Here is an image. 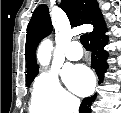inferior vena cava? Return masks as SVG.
<instances>
[{
  "label": "inferior vena cava",
  "mask_w": 121,
  "mask_h": 113,
  "mask_svg": "<svg viewBox=\"0 0 121 113\" xmlns=\"http://www.w3.org/2000/svg\"><path fill=\"white\" fill-rule=\"evenodd\" d=\"M79 106H80V101L79 100L74 101L72 106H71L70 113H78Z\"/></svg>",
  "instance_id": "1"
}]
</instances>
